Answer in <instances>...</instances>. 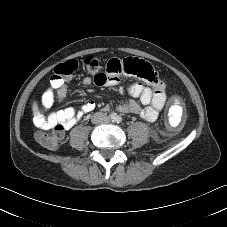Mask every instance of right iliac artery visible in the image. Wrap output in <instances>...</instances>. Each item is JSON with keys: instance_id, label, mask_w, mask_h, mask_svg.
I'll use <instances>...</instances> for the list:
<instances>
[{"instance_id": "obj_1", "label": "right iliac artery", "mask_w": 227, "mask_h": 227, "mask_svg": "<svg viewBox=\"0 0 227 227\" xmlns=\"http://www.w3.org/2000/svg\"><path fill=\"white\" fill-rule=\"evenodd\" d=\"M109 117H110V119L115 120L116 119V114L115 113H111L109 115Z\"/></svg>"}]
</instances>
